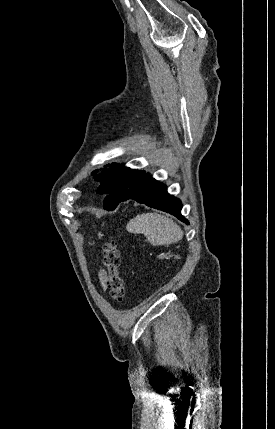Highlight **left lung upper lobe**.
I'll list each match as a JSON object with an SVG mask.
<instances>
[{
	"label": "left lung upper lobe",
	"mask_w": 275,
	"mask_h": 429,
	"mask_svg": "<svg viewBox=\"0 0 275 429\" xmlns=\"http://www.w3.org/2000/svg\"><path fill=\"white\" fill-rule=\"evenodd\" d=\"M96 173H98V170L92 173L94 179L101 182L97 192L106 194L104 208L106 210H113L121 202V198L128 191L132 183L139 179L145 171L132 170L114 163L110 166V169H104L99 174ZM110 190H112L111 194H109Z\"/></svg>",
	"instance_id": "left-lung-upper-lobe-1"
}]
</instances>
